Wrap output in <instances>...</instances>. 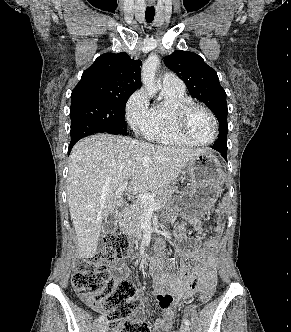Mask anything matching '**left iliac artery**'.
<instances>
[{
    "mask_svg": "<svg viewBox=\"0 0 291 332\" xmlns=\"http://www.w3.org/2000/svg\"><path fill=\"white\" fill-rule=\"evenodd\" d=\"M184 323H185L186 325L189 326V325H190V321H189V319L185 318V319H184Z\"/></svg>",
    "mask_w": 291,
    "mask_h": 332,
    "instance_id": "left-iliac-artery-1",
    "label": "left iliac artery"
}]
</instances>
